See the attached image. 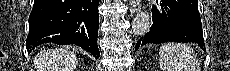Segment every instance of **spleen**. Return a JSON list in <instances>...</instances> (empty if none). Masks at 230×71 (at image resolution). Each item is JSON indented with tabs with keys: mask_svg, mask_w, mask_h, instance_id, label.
Instances as JSON below:
<instances>
[{
	"mask_svg": "<svg viewBox=\"0 0 230 71\" xmlns=\"http://www.w3.org/2000/svg\"><path fill=\"white\" fill-rule=\"evenodd\" d=\"M159 64L163 71H200L198 59L186 44L162 45L159 49Z\"/></svg>",
	"mask_w": 230,
	"mask_h": 71,
	"instance_id": "3e777b00",
	"label": "spleen"
}]
</instances>
